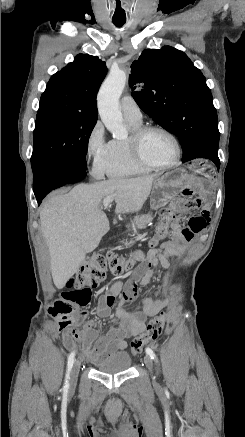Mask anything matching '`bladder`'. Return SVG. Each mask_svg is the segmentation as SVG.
<instances>
[{
    "instance_id": "bladder-1",
    "label": "bladder",
    "mask_w": 245,
    "mask_h": 437,
    "mask_svg": "<svg viewBox=\"0 0 245 437\" xmlns=\"http://www.w3.org/2000/svg\"><path fill=\"white\" fill-rule=\"evenodd\" d=\"M132 365V358L127 352H118L96 363V370L103 373H118L128 370Z\"/></svg>"
}]
</instances>
